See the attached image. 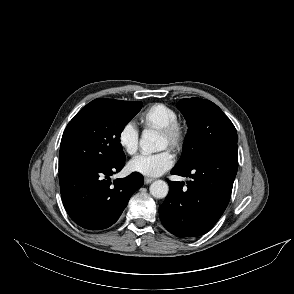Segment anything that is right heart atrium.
Returning a JSON list of instances; mask_svg holds the SVG:
<instances>
[{
    "mask_svg": "<svg viewBox=\"0 0 294 294\" xmlns=\"http://www.w3.org/2000/svg\"><path fill=\"white\" fill-rule=\"evenodd\" d=\"M119 147L128 155H133L139 147V131L132 122H126L119 130L117 135Z\"/></svg>",
    "mask_w": 294,
    "mask_h": 294,
    "instance_id": "obj_1",
    "label": "right heart atrium"
}]
</instances>
